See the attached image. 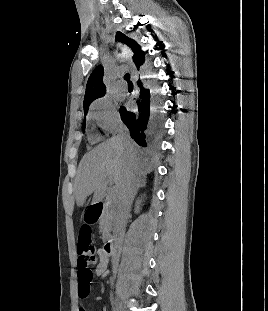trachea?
Masks as SVG:
<instances>
[{
  "label": "trachea",
  "mask_w": 268,
  "mask_h": 311,
  "mask_svg": "<svg viewBox=\"0 0 268 311\" xmlns=\"http://www.w3.org/2000/svg\"><path fill=\"white\" fill-rule=\"evenodd\" d=\"M124 79H125L128 83H131V81H130V74H129V73H127V74L124 75Z\"/></svg>",
  "instance_id": "1"
}]
</instances>
